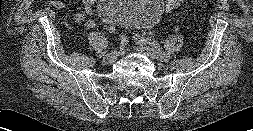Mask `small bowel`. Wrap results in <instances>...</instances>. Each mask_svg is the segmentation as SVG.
<instances>
[{"label":"small bowel","instance_id":"c3829d8e","mask_svg":"<svg viewBox=\"0 0 253 131\" xmlns=\"http://www.w3.org/2000/svg\"><path fill=\"white\" fill-rule=\"evenodd\" d=\"M84 6L83 12H77L74 16V19L77 23H84L87 27H93L94 23L91 20H88V16H92L94 13V4L96 0H81ZM53 6L58 9H65V3L61 0H56L53 3Z\"/></svg>","mask_w":253,"mask_h":131}]
</instances>
